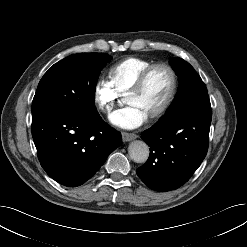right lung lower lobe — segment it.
Masks as SVG:
<instances>
[{"label": "right lung lower lobe", "instance_id": "1", "mask_svg": "<svg viewBox=\"0 0 247 247\" xmlns=\"http://www.w3.org/2000/svg\"><path fill=\"white\" fill-rule=\"evenodd\" d=\"M32 136L43 169L68 187L90 179L122 143L98 113L85 116L67 107L32 117Z\"/></svg>", "mask_w": 247, "mask_h": 247}]
</instances>
